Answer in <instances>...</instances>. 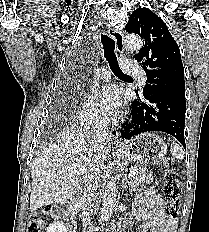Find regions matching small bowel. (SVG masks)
<instances>
[{"mask_svg":"<svg viewBox=\"0 0 209 232\" xmlns=\"http://www.w3.org/2000/svg\"><path fill=\"white\" fill-rule=\"evenodd\" d=\"M133 215L142 221L137 232H175L177 226V221L166 215L164 202L153 188L136 198Z\"/></svg>","mask_w":209,"mask_h":232,"instance_id":"small-bowel-1","label":"small bowel"}]
</instances>
